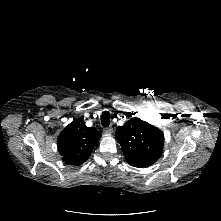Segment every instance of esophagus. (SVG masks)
Listing matches in <instances>:
<instances>
[{
	"mask_svg": "<svg viewBox=\"0 0 221 221\" xmlns=\"http://www.w3.org/2000/svg\"><path fill=\"white\" fill-rule=\"evenodd\" d=\"M104 132L107 133V134H110L113 132V128L112 127H106L104 128Z\"/></svg>",
	"mask_w": 221,
	"mask_h": 221,
	"instance_id": "34e87169",
	"label": "esophagus"
}]
</instances>
